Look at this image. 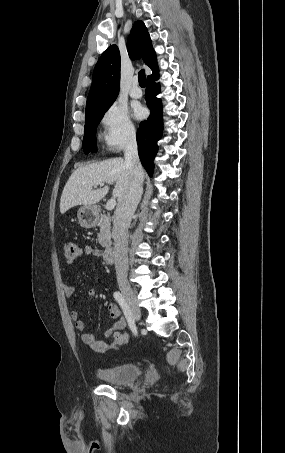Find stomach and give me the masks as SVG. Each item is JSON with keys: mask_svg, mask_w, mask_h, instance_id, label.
I'll return each mask as SVG.
<instances>
[{"mask_svg": "<svg viewBox=\"0 0 285 453\" xmlns=\"http://www.w3.org/2000/svg\"><path fill=\"white\" fill-rule=\"evenodd\" d=\"M77 218L83 228H92L98 221L97 211L93 206H82L77 212Z\"/></svg>", "mask_w": 285, "mask_h": 453, "instance_id": "obj_1", "label": "stomach"}]
</instances>
